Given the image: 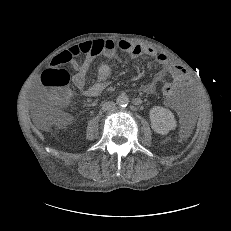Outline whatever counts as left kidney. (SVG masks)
<instances>
[{
  "label": "left kidney",
  "mask_w": 231,
  "mask_h": 231,
  "mask_svg": "<svg viewBox=\"0 0 231 231\" xmlns=\"http://www.w3.org/2000/svg\"><path fill=\"white\" fill-rule=\"evenodd\" d=\"M149 116L152 129L161 135H167L177 125L174 114L170 110L160 106L151 108Z\"/></svg>",
  "instance_id": "5707ae66"
}]
</instances>
